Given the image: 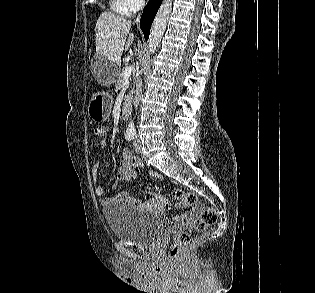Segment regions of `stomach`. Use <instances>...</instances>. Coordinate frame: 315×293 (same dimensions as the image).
<instances>
[{"label":"stomach","instance_id":"0dacf381","mask_svg":"<svg viewBox=\"0 0 315 293\" xmlns=\"http://www.w3.org/2000/svg\"><path fill=\"white\" fill-rule=\"evenodd\" d=\"M112 104L113 99L109 94L95 93L88 106L89 117L94 121H105L110 115Z\"/></svg>","mask_w":315,"mask_h":293}]
</instances>
